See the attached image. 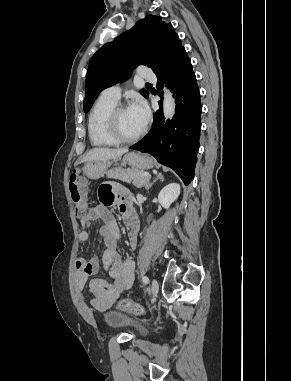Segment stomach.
I'll list each match as a JSON object with an SVG mask.
<instances>
[{"label":"stomach","mask_w":291,"mask_h":381,"mask_svg":"<svg viewBox=\"0 0 291 381\" xmlns=\"http://www.w3.org/2000/svg\"><path fill=\"white\" fill-rule=\"evenodd\" d=\"M123 162L130 165L133 169L140 171L147 170L153 167V161L147 155L130 152L123 157ZM110 162L108 161H91L87 162L82 171L85 176L90 179H99L106 173Z\"/></svg>","instance_id":"1"}]
</instances>
